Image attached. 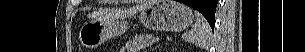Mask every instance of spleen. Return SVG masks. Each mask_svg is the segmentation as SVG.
Here are the masks:
<instances>
[{"label": "spleen", "mask_w": 305, "mask_h": 52, "mask_svg": "<svg viewBox=\"0 0 305 52\" xmlns=\"http://www.w3.org/2000/svg\"><path fill=\"white\" fill-rule=\"evenodd\" d=\"M197 21L191 31L183 34V39L202 48H208L211 39V28L201 13L195 11Z\"/></svg>", "instance_id": "1"}]
</instances>
